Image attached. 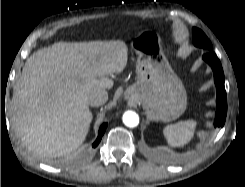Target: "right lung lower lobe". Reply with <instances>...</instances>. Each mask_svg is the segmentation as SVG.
Segmentation results:
<instances>
[{
	"mask_svg": "<svg viewBox=\"0 0 245 187\" xmlns=\"http://www.w3.org/2000/svg\"><path fill=\"white\" fill-rule=\"evenodd\" d=\"M106 127H107V124L106 123H104L101 127H100V129H99V134H98V138L96 139V141L93 143V147L95 148L98 144H99V142H100V140H101V138H102V136H103V134H104V132H105V130H106Z\"/></svg>",
	"mask_w": 245,
	"mask_h": 187,
	"instance_id": "obj_1",
	"label": "right lung lower lobe"
}]
</instances>
